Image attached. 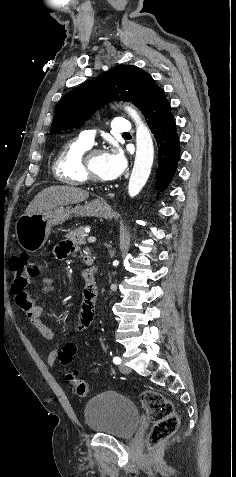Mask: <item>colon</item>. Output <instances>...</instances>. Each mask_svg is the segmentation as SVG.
<instances>
[{
    "mask_svg": "<svg viewBox=\"0 0 236 477\" xmlns=\"http://www.w3.org/2000/svg\"><path fill=\"white\" fill-rule=\"evenodd\" d=\"M10 267L13 273V293L18 302L20 296L29 294L35 279L40 271L38 262L31 261L27 253H20L11 259ZM77 353V346L69 343L59 353V360L63 365L69 364ZM71 390L80 397L90 393L89 385L77 378L73 372L66 374ZM142 405L153 423L151 444L158 445L171 437L179 426V418L172 403L161 393L147 390L141 396Z\"/></svg>",
    "mask_w": 236,
    "mask_h": 477,
    "instance_id": "obj_1",
    "label": "colon"
}]
</instances>
